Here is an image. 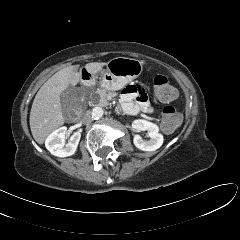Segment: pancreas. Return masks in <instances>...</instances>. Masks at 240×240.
Segmentation results:
<instances>
[{"label":"pancreas","instance_id":"pancreas-1","mask_svg":"<svg viewBox=\"0 0 240 240\" xmlns=\"http://www.w3.org/2000/svg\"><path fill=\"white\" fill-rule=\"evenodd\" d=\"M98 97H99V100H98V105L99 106H103V107H106L109 105V101H108V93L105 89H98L96 92H95Z\"/></svg>","mask_w":240,"mask_h":240}]
</instances>
